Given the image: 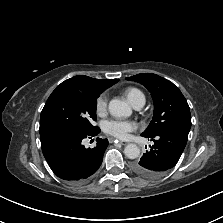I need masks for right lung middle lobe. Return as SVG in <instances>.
I'll use <instances>...</instances> for the list:
<instances>
[{
	"mask_svg": "<svg viewBox=\"0 0 223 223\" xmlns=\"http://www.w3.org/2000/svg\"><path fill=\"white\" fill-rule=\"evenodd\" d=\"M100 91L78 87H57L49 96L40 116V134L55 129L91 132L96 120Z\"/></svg>",
	"mask_w": 223,
	"mask_h": 223,
	"instance_id": "dd1d6c3e",
	"label": "right lung middle lobe"
}]
</instances>
